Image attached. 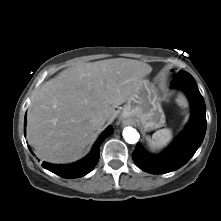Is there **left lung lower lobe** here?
Returning <instances> with one entry per match:
<instances>
[{
    "mask_svg": "<svg viewBox=\"0 0 221 221\" xmlns=\"http://www.w3.org/2000/svg\"><path fill=\"white\" fill-rule=\"evenodd\" d=\"M171 86L188 96L191 118L184 131L161 155L149 154L137 143L132 158L139 168L152 174L168 173L185 165L201 145L206 132V107L194 78L190 74L178 76Z\"/></svg>",
    "mask_w": 221,
    "mask_h": 221,
    "instance_id": "left-lung-lower-lobe-1",
    "label": "left lung lower lobe"
}]
</instances>
